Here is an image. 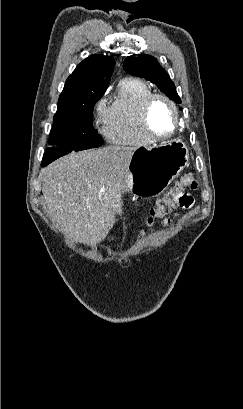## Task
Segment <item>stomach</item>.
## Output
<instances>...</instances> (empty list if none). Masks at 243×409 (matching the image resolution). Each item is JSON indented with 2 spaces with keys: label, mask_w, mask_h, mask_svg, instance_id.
<instances>
[{
  "label": "stomach",
  "mask_w": 243,
  "mask_h": 409,
  "mask_svg": "<svg viewBox=\"0 0 243 409\" xmlns=\"http://www.w3.org/2000/svg\"><path fill=\"white\" fill-rule=\"evenodd\" d=\"M188 160V148L180 139L136 149L121 191L135 196L159 194L184 169Z\"/></svg>",
  "instance_id": "0dacf381"
}]
</instances>
